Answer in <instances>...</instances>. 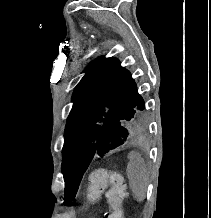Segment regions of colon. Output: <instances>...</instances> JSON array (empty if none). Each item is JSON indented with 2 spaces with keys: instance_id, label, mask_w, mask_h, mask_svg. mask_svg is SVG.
Instances as JSON below:
<instances>
[{
  "instance_id": "colon-1",
  "label": "colon",
  "mask_w": 211,
  "mask_h": 218,
  "mask_svg": "<svg viewBox=\"0 0 211 218\" xmlns=\"http://www.w3.org/2000/svg\"><path fill=\"white\" fill-rule=\"evenodd\" d=\"M103 194L108 199L109 210L104 213L102 218H124L123 201L127 192L123 177L119 172L97 169L89 174L86 192L87 202L96 203Z\"/></svg>"
}]
</instances>
